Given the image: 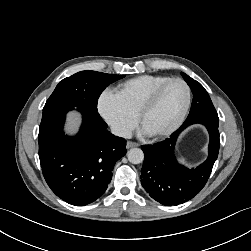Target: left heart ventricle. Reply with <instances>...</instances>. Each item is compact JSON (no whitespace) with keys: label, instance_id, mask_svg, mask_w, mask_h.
Listing matches in <instances>:
<instances>
[{"label":"left heart ventricle","instance_id":"1","mask_svg":"<svg viewBox=\"0 0 251 251\" xmlns=\"http://www.w3.org/2000/svg\"><path fill=\"white\" fill-rule=\"evenodd\" d=\"M186 101L183 84L168 85L159 96L154 107L145 115L142 128L147 134L161 132L170 127L180 115Z\"/></svg>","mask_w":251,"mask_h":251}]
</instances>
